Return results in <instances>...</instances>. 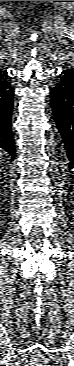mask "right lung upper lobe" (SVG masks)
I'll use <instances>...</instances> for the list:
<instances>
[{
	"instance_id": "1",
	"label": "right lung upper lobe",
	"mask_w": 74,
	"mask_h": 366,
	"mask_svg": "<svg viewBox=\"0 0 74 366\" xmlns=\"http://www.w3.org/2000/svg\"><path fill=\"white\" fill-rule=\"evenodd\" d=\"M6 73H7L6 71H3L2 69H0V76H3Z\"/></svg>"
}]
</instances>
